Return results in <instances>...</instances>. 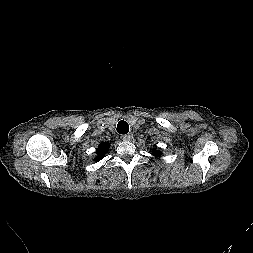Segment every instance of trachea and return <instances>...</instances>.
I'll return each instance as SVG.
<instances>
[{
  "label": "trachea",
  "instance_id": "3493384b",
  "mask_svg": "<svg viewBox=\"0 0 253 253\" xmlns=\"http://www.w3.org/2000/svg\"><path fill=\"white\" fill-rule=\"evenodd\" d=\"M117 132L120 134H127L129 132V125L126 121H119L117 124Z\"/></svg>",
  "mask_w": 253,
  "mask_h": 253
}]
</instances>
